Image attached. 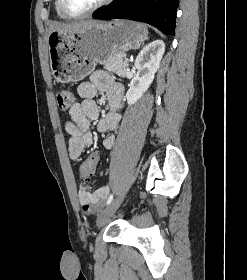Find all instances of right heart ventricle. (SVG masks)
Wrapping results in <instances>:
<instances>
[{
	"label": "right heart ventricle",
	"mask_w": 247,
	"mask_h": 280,
	"mask_svg": "<svg viewBox=\"0 0 247 280\" xmlns=\"http://www.w3.org/2000/svg\"><path fill=\"white\" fill-rule=\"evenodd\" d=\"M55 12L58 18L60 19H67L60 10V0H55Z\"/></svg>",
	"instance_id": "right-heart-ventricle-1"
}]
</instances>
